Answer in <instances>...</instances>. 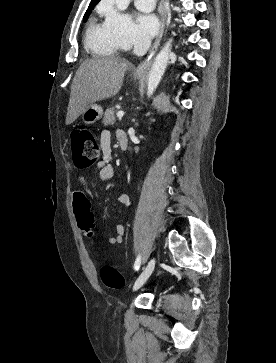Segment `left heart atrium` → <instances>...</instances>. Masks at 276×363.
I'll return each instance as SVG.
<instances>
[{
    "label": "left heart atrium",
    "instance_id": "39dd6f15",
    "mask_svg": "<svg viewBox=\"0 0 276 363\" xmlns=\"http://www.w3.org/2000/svg\"><path fill=\"white\" fill-rule=\"evenodd\" d=\"M137 25L140 33L145 38H150L158 32L160 21L155 14L142 13L137 17Z\"/></svg>",
    "mask_w": 276,
    "mask_h": 363
}]
</instances>
